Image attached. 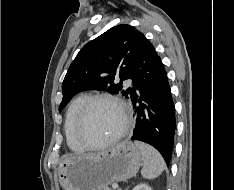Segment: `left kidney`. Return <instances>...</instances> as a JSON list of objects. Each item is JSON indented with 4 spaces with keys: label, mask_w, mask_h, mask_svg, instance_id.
<instances>
[{
    "label": "left kidney",
    "mask_w": 234,
    "mask_h": 190,
    "mask_svg": "<svg viewBox=\"0 0 234 190\" xmlns=\"http://www.w3.org/2000/svg\"><path fill=\"white\" fill-rule=\"evenodd\" d=\"M132 190H152V189L151 187H149V185L142 183L134 187Z\"/></svg>",
    "instance_id": "5707ae66"
}]
</instances>
